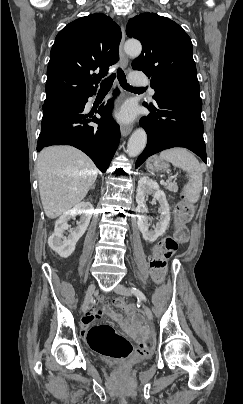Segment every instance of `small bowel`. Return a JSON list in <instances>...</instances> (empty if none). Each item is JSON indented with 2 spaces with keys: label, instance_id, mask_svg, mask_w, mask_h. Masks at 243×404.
<instances>
[{
  "label": "small bowel",
  "instance_id": "small-bowel-1",
  "mask_svg": "<svg viewBox=\"0 0 243 404\" xmlns=\"http://www.w3.org/2000/svg\"><path fill=\"white\" fill-rule=\"evenodd\" d=\"M105 313V310L98 306V304H94L91 307V310L87 316L82 319L81 322V329L83 332H86L90 326L100 317H102ZM134 326L128 325L125 327L127 333L131 334L133 331Z\"/></svg>",
  "mask_w": 243,
  "mask_h": 404
}]
</instances>
